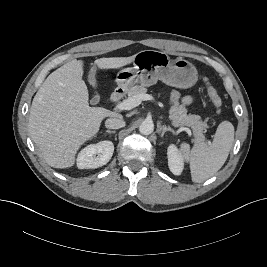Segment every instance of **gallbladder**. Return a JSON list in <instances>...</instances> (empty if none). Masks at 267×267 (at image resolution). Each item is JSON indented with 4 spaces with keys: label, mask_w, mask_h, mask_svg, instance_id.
<instances>
[{
    "label": "gallbladder",
    "mask_w": 267,
    "mask_h": 267,
    "mask_svg": "<svg viewBox=\"0 0 267 267\" xmlns=\"http://www.w3.org/2000/svg\"><path fill=\"white\" fill-rule=\"evenodd\" d=\"M95 73H96V68L93 66L91 68V70L89 71L88 82L90 85H92L94 87L97 84ZM98 101H99V97H96V99L94 101H92L91 103L96 104Z\"/></svg>",
    "instance_id": "obj_1"
}]
</instances>
